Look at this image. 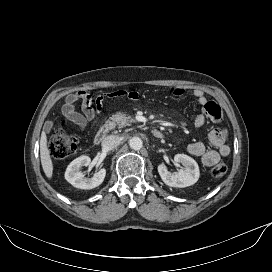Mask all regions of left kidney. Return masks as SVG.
Here are the masks:
<instances>
[{
	"label": "left kidney",
	"mask_w": 272,
	"mask_h": 272,
	"mask_svg": "<svg viewBox=\"0 0 272 272\" xmlns=\"http://www.w3.org/2000/svg\"><path fill=\"white\" fill-rule=\"evenodd\" d=\"M176 163H181L184 168L180 169L178 173L172 174L167 170L164 164L158 165V173L162 181L170 186L177 188H184L195 184L200 176L197 162L185 154H176L174 157Z\"/></svg>",
	"instance_id": "obj_1"
}]
</instances>
